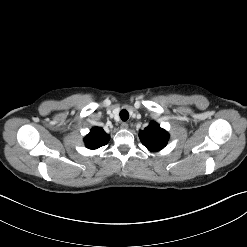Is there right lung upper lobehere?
I'll use <instances>...</instances> for the list:
<instances>
[{"label": "right lung upper lobe", "instance_id": "obj_1", "mask_svg": "<svg viewBox=\"0 0 247 247\" xmlns=\"http://www.w3.org/2000/svg\"><path fill=\"white\" fill-rule=\"evenodd\" d=\"M110 136L100 127H93L84 138L85 146L89 149H97L108 143Z\"/></svg>", "mask_w": 247, "mask_h": 247}]
</instances>
